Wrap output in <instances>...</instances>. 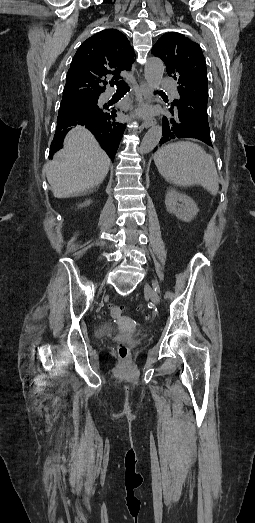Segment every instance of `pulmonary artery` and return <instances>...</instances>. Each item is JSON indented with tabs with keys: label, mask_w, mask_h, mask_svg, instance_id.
Instances as JSON below:
<instances>
[{
	"label": "pulmonary artery",
	"mask_w": 255,
	"mask_h": 523,
	"mask_svg": "<svg viewBox=\"0 0 255 523\" xmlns=\"http://www.w3.org/2000/svg\"><path fill=\"white\" fill-rule=\"evenodd\" d=\"M161 84L163 85V88H165V90L167 91L169 100L172 101L171 105L173 107H176L178 105L177 100L179 98V95L176 90L175 79L172 77H166L161 81ZM107 94L111 96L114 94V91L112 89H108Z\"/></svg>",
	"instance_id": "pulmonary-artery-1"
}]
</instances>
